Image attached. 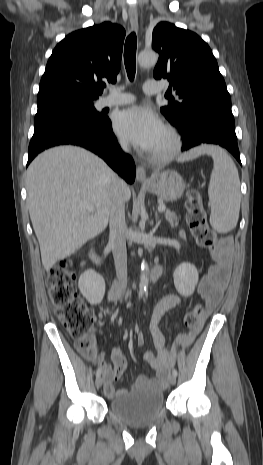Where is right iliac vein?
Segmentation results:
<instances>
[{"mask_svg": "<svg viewBox=\"0 0 263 465\" xmlns=\"http://www.w3.org/2000/svg\"><path fill=\"white\" fill-rule=\"evenodd\" d=\"M102 383H103L102 377H101V376L97 377V378H96V382H95L96 387H97V388H100V387L102 386Z\"/></svg>", "mask_w": 263, "mask_h": 465, "instance_id": "obj_1", "label": "right iliac vein"}]
</instances>
